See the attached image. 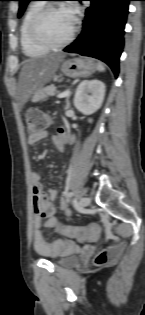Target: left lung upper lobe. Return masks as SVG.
Masks as SVG:
<instances>
[{
  "label": "left lung upper lobe",
  "mask_w": 145,
  "mask_h": 315,
  "mask_svg": "<svg viewBox=\"0 0 145 315\" xmlns=\"http://www.w3.org/2000/svg\"><path fill=\"white\" fill-rule=\"evenodd\" d=\"M20 2L19 6V12H18V17H21V15L23 14V12L25 11V8L28 4V2L32 1V0H17Z\"/></svg>",
  "instance_id": "1"
}]
</instances>
